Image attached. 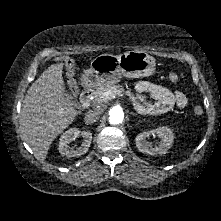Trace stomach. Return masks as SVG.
I'll list each match as a JSON object with an SVG mask.
<instances>
[{"label": "stomach", "instance_id": "obj_1", "mask_svg": "<svg viewBox=\"0 0 221 221\" xmlns=\"http://www.w3.org/2000/svg\"><path fill=\"white\" fill-rule=\"evenodd\" d=\"M155 72V60L144 51H128L118 56L102 54L94 58L90 68L81 77L87 87H99L117 83L122 76L140 78Z\"/></svg>", "mask_w": 221, "mask_h": 221}]
</instances>
